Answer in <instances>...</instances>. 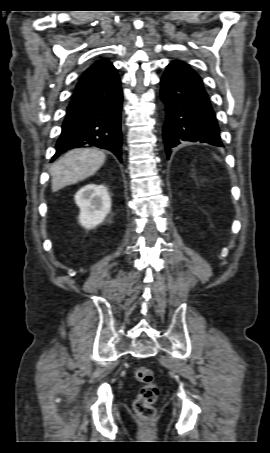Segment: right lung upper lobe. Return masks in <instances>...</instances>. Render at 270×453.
Wrapping results in <instances>:
<instances>
[{"label":"right lung upper lobe","mask_w":270,"mask_h":453,"mask_svg":"<svg viewBox=\"0 0 270 453\" xmlns=\"http://www.w3.org/2000/svg\"><path fill=\"white\" fill-rule=\"evenodd\" d=\"M112 67L113 65L108 61V59L103 58L98 60L83 73L77 85H81L101 77L109 68Z\"/></svg>","instance_id":"right-lung-upper-lobe-1"}]
</instances>
